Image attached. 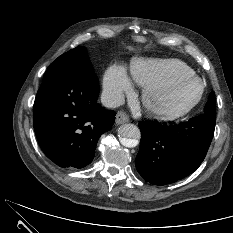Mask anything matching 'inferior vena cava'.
Returning a JSON list of instances; mask_svg holds the SVG:
<instances>
[{
    "mask_svg": "<svg viewBox=\"0 0 233 233\" xmlns=\"http://www.w3.org/2000/svg\"><path fill=\"white\" fill-rule=\"evenodd\" d=\"M101 102L105 107L116 108L124 104V95L118 92L104 91L101 94Z\"/></svg>",
    "mask_w": 233,
    "mask_h": 233,
    "instance_id": "obj_1",
    "label": "inferior vena cava"
}]
</instances>
